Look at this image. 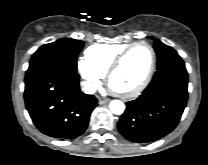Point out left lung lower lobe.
<instances>
[{
    "label": "left lung lower lobe",
    "instance_id": "0a47b994",
    "mask_svg": "<svg viewBox=\"0 0 208 165\" xmlns=\"http://www.w3.org/2000/svg\"><path fill=\"white\" fill-rule=\"evenodd\" d=\"M188 99V73L181 58L159 68L136 100L126 103L118 129L137 143L158 140L179 123Z\"/></svg>",
    "mask_w": 208,
    "mask_h": 165
}]
</instances>
